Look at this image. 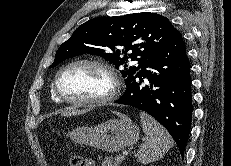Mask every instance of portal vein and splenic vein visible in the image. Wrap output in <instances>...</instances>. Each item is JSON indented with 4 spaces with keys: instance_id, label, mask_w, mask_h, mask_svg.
I'll list each match as a JSON object with an SVG mask.
<instances>
[{
    "instance_id": "18ae733b",
    "label": "portal vein and splenic vein",
    "mask_w": 231,
    "mask_h": 166,
    "mask_svg": "<svg viewBox=\"0 0 231 166\" xmlns=\"http://www.w3.org/2000/svg\"><path fill=\"white\" fill-rule=\"evenodd\" d=\"M125 155H127V152L123 151L122 155H120L119 158H124Z\"/></svg>"
}]
</instances>
